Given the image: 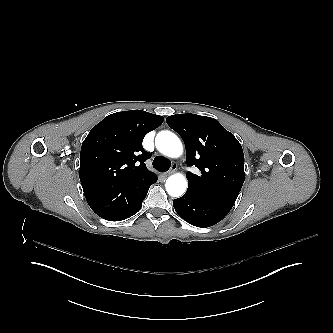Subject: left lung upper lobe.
I'll use <instances>...</instances> for the list:
<instances>
[{"label":"left lung upper lobe","instance_id":"left-lung-upper-lobe-1","mask_svg":"<svg viewBox=\"0 0 333 333\" xmlns=\"http://www.w3.org/2000/svg\"><path fill=\"white\" fill-rule=\"evenodd\" d=\"M166 121L185 143L187 165L201 171L200 176L186 174V193L234 205L245 179L244 154L235 136L211 117L177 114Z\"/></svg>","mask_w":333,"mask_h":333}]
</instances>
